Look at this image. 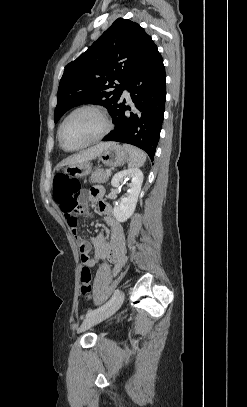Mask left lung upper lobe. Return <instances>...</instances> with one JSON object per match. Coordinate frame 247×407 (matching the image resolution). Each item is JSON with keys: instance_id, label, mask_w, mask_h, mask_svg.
<instances>
[{"instance_id": "left-lung-upper-lobe-1", "label": "left lung upper lobe", "mask_w": 247, "mask_h": 407, "mask_svg": "<svg viewBox=\"0 0 247 407\" xmlns=\"http://www.w3.org/2000/svg\"><path fill=\"white\" fill-rule=\"evenodd\" d=\"M156 49L139 24L118 18L86 52L65 67L58 88L55 123L67 110L83 103L105 106L111 114L127 82Z\"/></svg>"}]
</instances>
